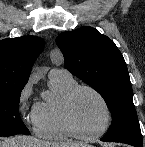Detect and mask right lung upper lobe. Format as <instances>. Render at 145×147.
<instances>
[{"label":"right lung upper lobe","instance_id":"cb5924a9","mask_svg":"<svg viewBox=\"0 0 145 147\" xmlns=\"http://www.w3.org/2000/svg\"><path fill=\"white\" fill-rule=\"evenodd\" d=\"M43 46V39L36 36L0 41V92L26 85L31 67Z\"/></svg>","mask_w":145,"mask_h":147}]
</instances>
